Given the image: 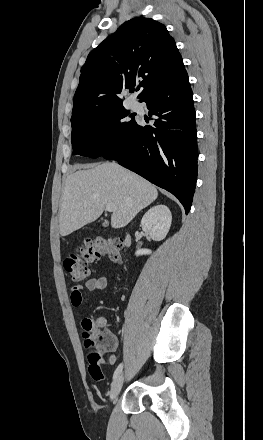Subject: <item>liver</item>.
Returning <instances> with one entry per match:
<instances>
[{"label": "liver", "instance_id": "liver-1", "mask_svg": "<svg viewBox=\"0 0 263 440\" xmlns=\"http://www.w3.org/2000/svg\"><path fill=\"white\" fill-rule=\"evenodd\" d=\"M158 197L156 187L115 162L82 165L64 185L59 231L67 236L98 219L108 203L115 208L112 228H122Z\"/></svg>", "mask_w": 263, "mask_h": 440}]
</instances>
